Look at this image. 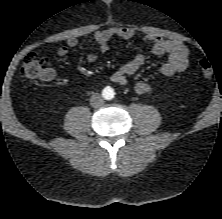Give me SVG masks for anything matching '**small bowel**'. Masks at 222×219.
Listing matches in <instances>:
<instances>
[{"mask_svg":"<svg viewBox=\"0 0 222 219\" xmlns=\"http://www.w3.org/2000/svg\"><path fill=\"white\" fill-rule=\"evenodd\" d=\"M135 32L128 27H111L97 31L89 39L84 41L85 45L96 44L101 53H104L108 49V43L112 39L129 40L133 38ZM144 40L151 45L152 53L156 56L168 57L167 61L160 67V73L165 77L173 76L177 73L183 72L189 64L190 52L188 48L181 42L176 40H167L159 37L156 34L149 33L144 37ZM79 41L75 37H70L67 40L66 45L61 46L57 50L59 56H65L68 54L71 48L78 46ZM98 59V55L95 52H90L86 56L88 63H95ZM145 58L141 54H137L130 60L123 63L112 75L111 81L118 85H126L130 78L135 75L139 68L144 64ZM55 75L53 69H51V75L45 81L51 80ZM154 86L145 81H139L135 85V90L139 94H147L152 92Z\"/></svg>","mask_w":222,"mask_h":219,"instance_id":"1","label":"small bowel"}]
</instances>
